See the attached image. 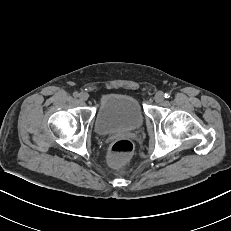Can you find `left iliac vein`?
Listing matches in <instances>:
<instances>
[{
	"instance_id": "obj_1",
	"label": "left iliac vein",
	"mask_w": 231,
	"mask_h": 231,
	"mask_svg": "<svg viewBox=\"0 0 231 231\" xmlns=\"http://www.w3.org/2000/svg\"><path fill=\"white\" fill-rule=\"evenodd\" d=\"M154 100L157 103H161L164 100V94L162 92H157L154 96Z\"/></svg>"
}]
</instances>
